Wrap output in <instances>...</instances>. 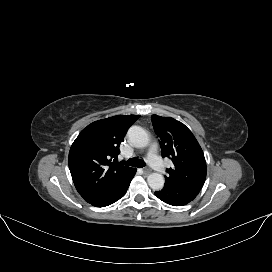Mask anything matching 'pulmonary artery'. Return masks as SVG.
<instances>
[{"label": "pulmonary artery", "instance_id": "1", "mask_svg": "<svg viewBox=\"0 0 272 272\" xmlns=\"http://www.w3.org/2000/svg\"><path fill=\"white\" fill-rule=\"evenodd\" d=\"M148 160L150 165L158 172L164 173L166 171V166L162 162L159 154H158V145L156 143H152L149 152H148Z\"/></svg>", "mask_w": 272, "mask_h": 272}]
</instances>
